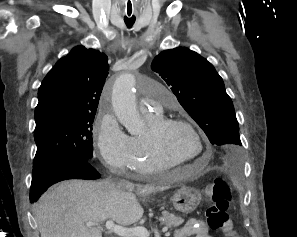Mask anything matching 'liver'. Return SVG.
<instances>
[{
    "label": "liver",
    "mask_w": 297,
    "mask_h": 237,
    "mask_svg": "<svg viewBox=\"0 0 297 237\" xmlns=\"http://www.w3.org/2000/svg\"><path fill=\"white\" fill-rule=\"evenodd\" d=\"M168 186H143L139 196L164 191ZM134 186L121 188L111 181L88 182L68 180L43 194L34 206L41 237H102L96 226L112 219L128 226L139 221L144 213L134 194Z\"/></svg>",
    "instance_id": "liver-1"
}]
</instances>
